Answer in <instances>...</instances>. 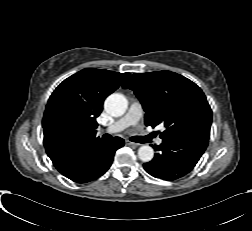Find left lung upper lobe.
<instances>
[{"label":"left lung upper lobe","mask_w":252,"mask_h":231,"mask_svg":"<svg viewBox=\"0 0 252 231\" xmlns=\"http://www.w3.org/2000/svg\"><path fill=\"white\" fill-rule=\"evenodd\" d=\"M123 88L133 90L140 100L147 126H165L163 140L188 135L209 140L212 111L202 90L189 79L171 71L135 73Z\"/></svg>","instance_id":"obj_1"}]
</instances>
